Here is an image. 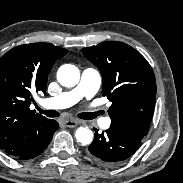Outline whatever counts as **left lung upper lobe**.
Returning a JSON list of instances; mask_svg holds the SVG:
<instances>
[{"mask_svg":"<svg viewBox=\"0 0 183 183\" xmlns=\"http://www.w3.org/2000/svg\"><path fill=\"white\" fill-rule=\"evenodd\" d=\"M82 53L101 72L102 94L112 105L111 126L143 139L149 130L156 96V81L147 60L122 42H103Z\"/></svg>","mask_w":183,"mask_h":183,"instance_id":"1","label":"left lung upper lobe"}]
</instances>
